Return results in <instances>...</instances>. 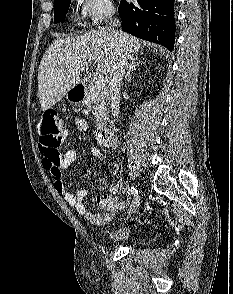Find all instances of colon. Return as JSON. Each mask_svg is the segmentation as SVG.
Instances as JSON below:
<instances>
[{"instance_id": "obj_1", "label": "colon", "mask_w": 233, "mask_h": 294, "mask_svg": "<svg viewBox=\"0 0 233 294\" xmlns=\"http://www.w3.org/2000/svg\"><path fill=\"white\" fill-rule=\"evenodd\" d=\"M63 123L57 112L49 109L43 112L37 124V134L42 153L48 157L59 156V145L63 139ZM108 209L116 210L122 207L118 200L105 202Z\"/></svg>"}]
</instances>
